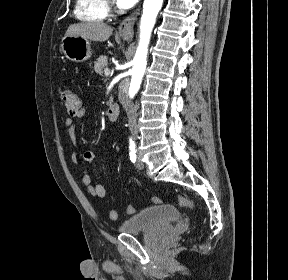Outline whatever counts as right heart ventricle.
<instances>
[{"label": "right heart ventricle", "instance_id": "obj_1", "mask_svg": "<svg viewBox=\"0 0 288 280\" xmlns=\"http://www.w3.org/2000/svg\"><path fill=\"white\" fill-rule=\"evenodd\" d=\"M74 14L85 22H102L108 16L107 0H76Z\"/></svg>", "mask_w": 288, "mask_h": 280}]
</instances>
